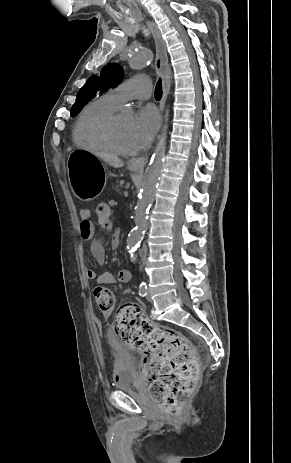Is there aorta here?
<instances>
[{"instance_id":"obj_1","label":"aorta","mask_w":291,"mask_h":463,"mask_svg":"<svg viewBox=\"0 0 291 463\" xmlns=\"http://www.w3.org/2000/svg\"><path fill=\"white\" fill-rule=\"evenodd\" d=\"M153 55L151 50L143 49L133 53L129 58V66L134 70L142 69L152 63ZM168 110H166L165 124L159 142L154 150L145 172L139 200L135 208V227L131 230L127 238V250L133 259V252L139 246L147 228V214L154 200L156 188L160 175L164 167L165 143L167 139Z\"/></svg>"}]
</instances>
